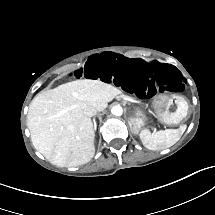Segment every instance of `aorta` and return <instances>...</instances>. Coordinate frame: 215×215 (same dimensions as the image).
I'll list each match as a JSON object with an SVG mask.
<instances>
[{"instance_id": "1", "label": "aorta", "mask_w": 215, "mask_h": 215, "mask_svg": "<svg viewBox=\"0 0 215 215\" xmlns=\"http://www.w3.org/2000/svg\"><path fill=\"white\" fill-rule=\"evenodd\" d=\"M111 113L116 116H121L123 113V109L120 105L113 106L111 109Z\"/></svg>"}]
</instances>
